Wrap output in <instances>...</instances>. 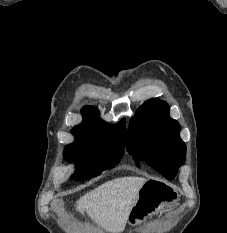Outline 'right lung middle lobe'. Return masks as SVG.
<instances>
[{"mask_svg":"<svg viewBox=\"0 0 227 233\" xmlns=\"http://www.w3.org/2000/svg\"><path fill=\"white\" fill-rule=\"evenodd\" d=\"M124 146L119 139L109 138L95 144L74 142L64 150L67 161H78L75 179H87L99 175L102 171L119 163L124 153Z\"/></svg>","mask_w":227,"mask_h":233,"instance_id":"right-lung-middle-lobe-1","label":"right lung middle lobe"}]
</instances>
